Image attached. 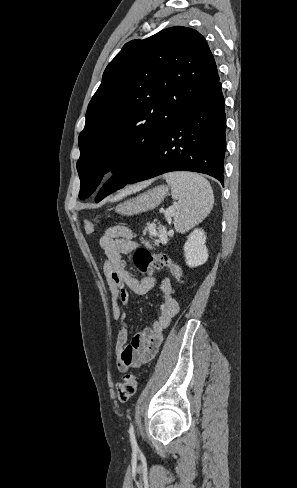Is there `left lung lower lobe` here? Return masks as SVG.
Masks as SVG:
<instances>
[{"label": "left lung lower lobe", "mask_w": 297, "mask_h": 488, "mask_svg": "<svg viewBox=\"0 0 297 488\" xmlns=\"http://www.w3.org/2000/svg\"><path fill=\"white\" fill-rule=\"evenodd\" d=\"M224 105L218 82L176 122L127 184L171 171H193L210 175L224 185Z\"/></svg>", "instance_id": "left-lung-lower-lobe-1"}]
</instances>
